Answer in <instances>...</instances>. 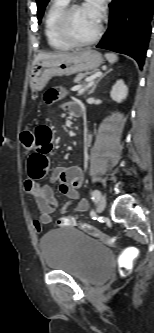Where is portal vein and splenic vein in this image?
Masks as SVG:
<instances>
[{
	"mask_svg": "<svg viewBox=\"0 0 154 333\" xmlns=\"http://www.w3.org/2000/svg\"><path fill=\"white\" fill-rule=\"evenodd\" d=\"M102 75V72H97L96 74H94L93 76L89 77L86 79V81L89 82L88 86L93 82V80L96 78V77H99ZM86 88L82 87L81 85L79 86H75L72 88V91H77L79 94L83 93L85 91Z\"/></svg>",
	"mask_w": 154,
	"mask_h": 333,
	"instance_id": "obj_1",
	"label": "portal vein and splenic vein"
}]
</instances>
